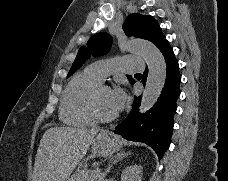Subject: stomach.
<instances>
[{
    "label": "stomach",
    "mask_w": 228,
    "mask_h": 181,
    "mask_svg": "<svg viewBox=\"0 0 228 181\" xmlns=\"http://www.w3.org/2000/svg\"><path fill=\"white\" fill-rule=\"evenodd\" d=\"M121 147L120 137H116L110 131H100L92 141L91 151L98 157H109L120 151Z\"/></svg>",
    "instance_id": "stomach-1"
}]
</instances>
